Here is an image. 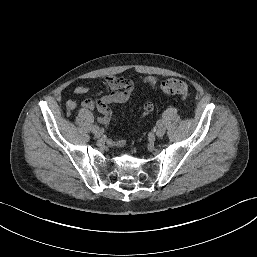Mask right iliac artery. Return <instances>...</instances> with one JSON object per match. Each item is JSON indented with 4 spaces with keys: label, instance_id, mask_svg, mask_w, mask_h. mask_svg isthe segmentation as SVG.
<instances>
[{
    "label": "right iliac artery",
    "instance_id": "obj_1",
    "mask_svg": "<svg viewBox=\"0 0 257 257\" xmlns=\"http://www.w3.org/2000/svg\"><path fill=\"white\" fill-rule=\"evenodd\" d=\"M99 129L98 125H93L92 126V132L94 133L95 131H97Z\"/></svg>",
    "mask_w": 257,
    "mask_h": 257
}]
</instances>
